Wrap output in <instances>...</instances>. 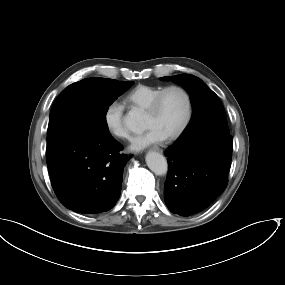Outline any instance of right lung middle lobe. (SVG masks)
Returning a JSON list of instances; mask_svg holds the SVG:
<instances>
[{
    "instance_id": "1",
    "label": "right lung middle lobe",
    "mask_w": 285,
    "mask_h": 285,
    "mask_svg": "<svg viewBox=\"0 0 285 285\" xmlns=\"http://www.w3.org/2000/svg\"><path fill=\"white\" fill-rule=\"evenodd\" d=\"M134 82L107 78H87L66 87L56 98L49 118L47 145L80 127L109 132V106Z\"/></svg>"
}]
</instances>
